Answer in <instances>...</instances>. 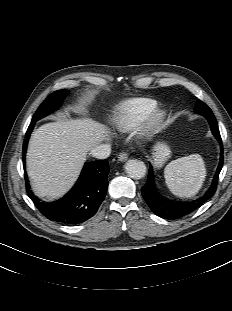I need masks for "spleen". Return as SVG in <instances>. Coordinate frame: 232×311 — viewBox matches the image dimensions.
<instances>
[{"label":"spleen","instance_id":"obj_1","mask_svg":"<svg viewBox=\"0 0 232 311\" xmlns=\"http://www.w3.org/2000/svg\"><path fill=\"white\" fill-rule=\"evenodd\" d=\"M165 182L170 191L179 197H192L202 187L206 168L199 154L171 161L164 169Z\"/></svg>","mask_w":232,"mask_h":311}]
</instances>
